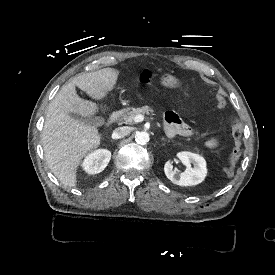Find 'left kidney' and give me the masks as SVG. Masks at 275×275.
Instances as JSON below:
<instances>
[{"instance_id": "1", "label": "left kidney", "mask_w": 275, "mask_h": 275, "mask_svg": "<svg viewBox=\"0 0 275 275\" xmlns=\"http://www.w3.org/2000/svg\"><path fill=\"white\" fill-rule=\"evenodd\" d=\"M177 157L187 166L186 170L179 175L173 170L172 164L167 161L164 166L165 175L172 183L180 186H192L201 183L207 175V167L205 159L199 154L188 151L177 153ZM191 162L194 168H191Z\"/></svg>"}]
</instances>
